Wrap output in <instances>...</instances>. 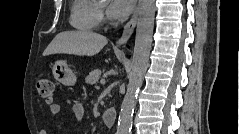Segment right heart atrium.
Masks as SVG:
<instances>
[{
  "instance_id": "obj_1",
  "label": "right heart atrium",
  "mask_w": 239,
  "mask_h": 134,
  "mask_svg": "<svg viewBox=\"0 0 239 134\" xmlns=\"http://www.w3.org/2000/svg\"><path fill=\"white\" fill-rule=\"evenodd\" d=\"M99 17H100V20L103 18V12L102 11H100Z\"/></svg>"
}]
</instances>
